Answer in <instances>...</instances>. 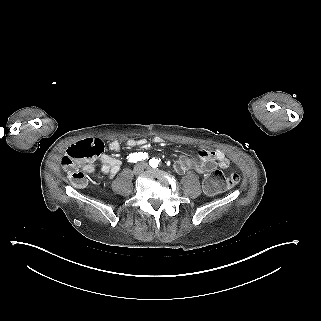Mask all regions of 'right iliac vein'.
<instances>
[{
	"instance_id": "obj_1",
	"label": "right iliac vein",
	"mask_w": 321,
	"mask_h": 321,
	"mask_svg": "<svg viewBox=\"0 0 321 321\" xmlns=\"http://www.w3.org/2000/svg\"><path fill=\"white\" fill-rule=\"evenodd\" d=\"M147 168L146 164H137L133 168V174L134 175H139L141 174L145 169Z\"/></svg>"
}]
</instances>
